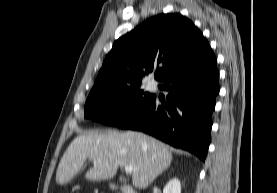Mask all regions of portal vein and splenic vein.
<instances>
[{
  "mask_svg": "<svg viewBox=\"0 0 277 193\" xmlns=\"http://www.w3.org/2000/svg\"><path fill=\"white\" fill-rule=\"evenodd\" d=\"M134 168L132 166H125V172L126 173H132Z\"/></svg>",
  "mask_w": 277,
  "mask_h": 193,
  "instance_id": "1",
  "label": "portal vein and splenic vein"
}]
</instances>
